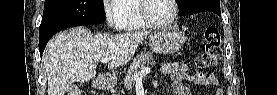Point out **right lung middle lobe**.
Masks as SVG:
<instances>
[{
    "label": "right lung middle lobe",
    "instance_id": "right-lung-middle-lobe-1",
    "mask_svg": "<svg viewBox=\"0 0 277 95\" xmlns=\"http://www.w3.org/2000/svg\"><path fill=\"white\" fill-rule=\"evenodd\" d=\"M104 20L102 0H45L39 32L54 27L99 24Z\"/></svg>",
    "mask_w": 277,
    "mask_h": 95
}]
</instances>
